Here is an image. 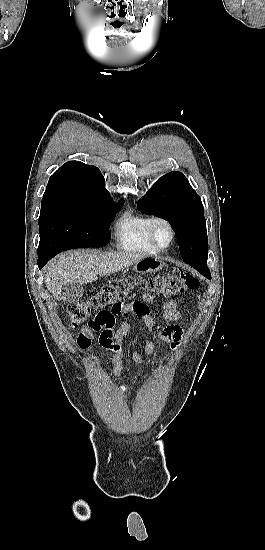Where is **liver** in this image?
<instances>
[{"instance_id":"6515ba94","label":"liver","mask_w":265,"mask_h":550,"mask_svg":"<svg viewBox=\"0 0 265 550\" xmlns=\"http://www.w3.org/2000/svg\"><path fill=\"white\" fill-rule=\"evenodd\" d=\"M145 258L132 253H97L72 250L55 257L48 265L45 283L53 297L60 301L66 283L87 284L129 267Z\"/></svg>"}]
</instances>
